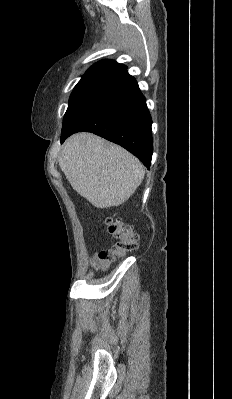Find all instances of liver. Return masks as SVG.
<instances>
[{
	"label": "liver",
	"mask_w": 232,
	"mask_h": 399,
	"mask_svg": "<svg viewBox=\"0 0 232 399\" xmlns=\"http://www.w3.org/2000/svg\"><path fill=\"white\" fill-rule=\"evenodd\" d=\"M59 166L73 190L96 207L124 203L145 176L135 156L86 132L66 140Z\"/></svg>",
	"instance_id": "obj_1"
}]
</instances>
